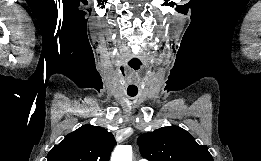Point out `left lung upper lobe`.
I'll return each instance as SVG.
<instances>
[{
    "instance_id": "obj_1",
    "label": "left lung upper lobe",
    "mask_w": 261,
    "mask_h": 161,
    "mask_svg": "<svg viewBox=\"0 0 261 161\" xmlns=\"http://www.w3.org/2000/svg\"><path fill=\"white\" fill-rule=\"evenodd\" d=\"M137 144L149 161H213L206 145L178 126L162 127L141 135Z\"/></svg>"
}]
</instances>
